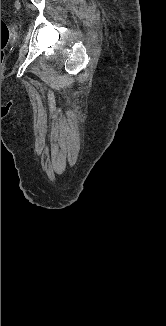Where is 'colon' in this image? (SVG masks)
Returning <instances> with one entry per match:
<instances>
[{
  "label": "colon",
  "mask_w": 166,
  "mask_h": 326,
  "mask_svg": "<svg viewBox=\"0 0 166 326\" xmlns=\"http://www.w3.org/2000/svg\"><path fill=\"white\" fill-rule=\"evenodd\" d=\"M8 40H9V30L5 21L1 19V65L3 64L4 61V49L8 43Z\"/></svg>",
  "instance_id": "obj_1"
}]
</instances>
